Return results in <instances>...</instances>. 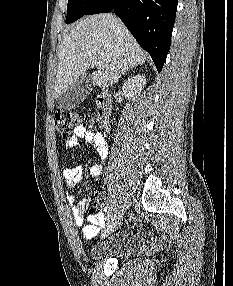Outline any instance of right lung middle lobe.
<instances>
[{"label": "right lung middle lobe", "mask_w": 233, "mask_h": 286, "mask_svg": "<svg viewBox=\"0 0 233 286\" xmlns=\"http://www.w3.org/2000/svg\"><path fill=\"white\" fill-rule=\"evenodd\" d=\"M100 0H68L66 23H72L87 13Z\"/></svg>", "instance_id": "right-lung-middle-lobe-1"}]
</instances>
